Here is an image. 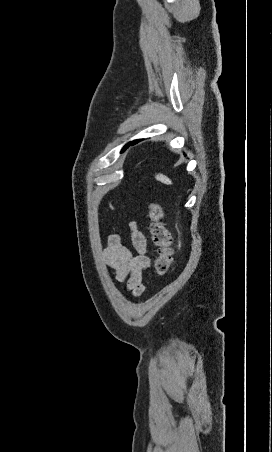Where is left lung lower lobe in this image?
I'll list each match as a JSON object with an SVG mask.
<instances>
[{
	"instance_id": "left-lung-lower-lobe-1",
	"label": "left lung lower lobe",
	"mask_w": 272,
	"mask_h": 452,
	"mask_svg": "<svg viewBox=\"0 0 272 452\" xmlns=\"http://www.w3.org/2000/svg\"><path fill=\"white\" fill-rule=\"evenodd\" d=\"M136 142H138V141H133V142H131V143L127 144L126 146L128 147L129 145H133V144H135ZM126 146H125V147H126ZM125 147L123 148V150H122V151H124V150H125V149L127 148V147H126V148H125Z\"/></svg>"
}]
</instances>
